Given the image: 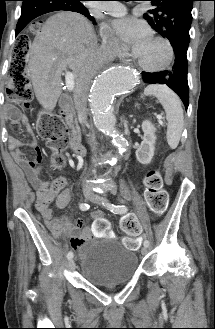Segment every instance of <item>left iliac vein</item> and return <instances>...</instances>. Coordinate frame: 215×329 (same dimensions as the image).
Wrapping results in <instances>:
<instances>
[{"mask_svg":"<svg viewBox=\"0 0 215 329\" xmlns=\"http://www.w3.org/2000/svg\"><path fill=\"white\" fill-rule=\"evenodd\" d=\"M90 200L95 203V204H98V205H102V198L98 195H95V194H92ZM148 252V248L146 246H144L142 249H141V253L143 255H146Z\"/></svg>","mask_w":215,"mask_h":329,"instance_id":"1","label":"left iliac vein"}]
</instances>
